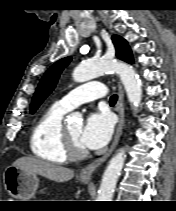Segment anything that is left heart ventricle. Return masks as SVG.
I'll use <instances>...</instances> for the list:
<instances>
[{
    "instance_id": "left-heart-ventricle-1",
    "label": "left heart ventricle",
    "mask_w": 176,
    "mask_h": 211,
    "mask_svg": "<svg viewBox=\"0 0 176 211\" xmlns=\"http://www.w3.org/2000/svg\"><path fill=\"white\" fill-rule=\"evenodd\" d=\"M67 130L72 138V140L74 141V143L81 148H84L83 145L80 142V135L82 132V127L81 125L78 124H73L67 127Z\"/></svg>"
}]
</instances>
